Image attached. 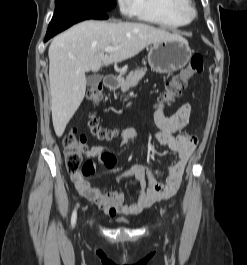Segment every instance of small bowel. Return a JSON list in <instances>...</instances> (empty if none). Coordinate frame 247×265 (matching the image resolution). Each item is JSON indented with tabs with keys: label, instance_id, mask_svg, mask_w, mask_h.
Masks as SVG:
<instances>
[{
	"label": "small bowel",
	"instance_id": "c3829d8e",
	"mask_svg": "<svg viewBox=\"0 0 247 265\" xmlns=\"http://www.w3.org/2000/svg\"><path fill=\"white\" fill-rule=\"evenodd\" d=\"M192 110L193 105L186 102L170 116L165 115L163 105H159L154 113V121L159 128V131L153 135L154 140L161 145L168 146L177 156L164 183L156 180L148 164L140 163L130 166L117 178L119 182L125 178H132L136 181L139 190L133 203H126L122 192L93 187L86 180L87 175L83 174L71 175L77 192L111 217L139 214L155 202L173 196L180 187L186 165L198 144L196 136L177 134L189 123ZM135 137L136 132L131 129L123 131L119 136L124 144L134 140ZM87 159L92 164L93 170L95 168L93 159H97L99 165L105 168H113L116 164L115 155L99 145L87 151Z\"/></svg>",
	"mask_w": 247,
	"mask_h": 265
}]
</instances>
